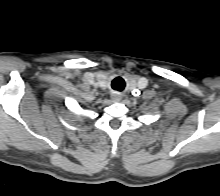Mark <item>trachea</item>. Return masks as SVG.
Masks as SVG:
<instances>
[{
  "instance_id": "3493384b",
  "label": "trachea",
  "mask_w": 220,
  "mask_h": 196,
  "mask_svg": "<svg viewBox=\"0 0 220 196\" xmlns=\"http://www.w3.org/2000/svg\"><path fill=\"white\" fill-rule=\"evenodd\" d=\"M116 80V79H115ZM114 82V81H113ZM115 90H118V91H122V89H118L116 87H113Z\"/></svg>"
}]
</instances>
